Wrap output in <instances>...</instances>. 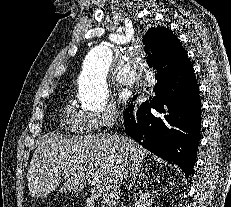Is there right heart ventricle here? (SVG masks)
<instances>
[{"instance_id": "obj_1", "label": "right heart ventricle", "mask_w": 231, "mask_h": 207, "mask_svg": "<svg viewBox=\"0 0 231 207\" xmlns=\"http://www.w3.org/2000/svg\"><path fill=\"white\" fill-rule=\"evenodd\" d=\"M63 127L71 133H82L85 130L82 113L72 104H67L62 111Z\"/></svg>"}]
</instances>
